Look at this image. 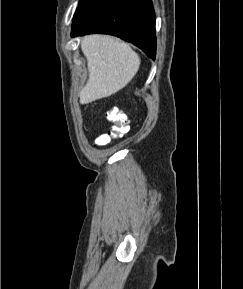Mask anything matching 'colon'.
I'll use <instances>...</instances> for the list:
<instances>
[{"label": "colon", "mask_w": 243, "mask_h": 289, "mask_svg": "<svg viewBox=\"0 0 243 289\" xmlns=\"http://www.w3.org/2000/svg\"><path fill=\"white\" fill-rule=\"evenodd\" d=\"M106 117L110 122V126L106 133L97 137L95 142L99 146H104L111 140L123 136L129 129L126 115L118 108H111L107 110Z\"/></svg>", "instance_id": "colon-1"}]
</instances>
